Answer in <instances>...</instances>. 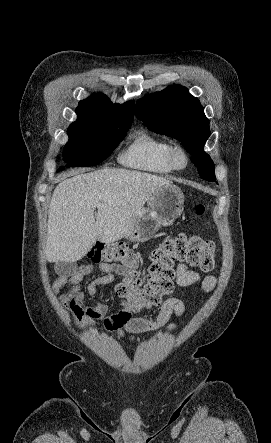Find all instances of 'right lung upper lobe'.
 <instances>
[{"instance_id": "1", "label": "right lung upper lobe", "mask_w": 271, "mask_h": 443, "mask_svg": "<svg viewBox=\"0 0 271 443\" xmlns=\"http://www.w3.org/2000/svg\"><path fill=\"white\" fill-rule=\"evenodd\" d=\"M133 101L113 104L105 95L96 94L79 102L76 108V121L89 118H127L133 119Z\"/></svg>"}]
</instances>
